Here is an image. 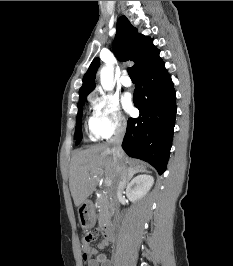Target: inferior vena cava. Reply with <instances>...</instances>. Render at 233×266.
Here are the masks:
<instances>
[{"instance_id":"1","label":"inferior vena cava","mask_w":233,"mask_h":266,"mask_svg":"<svg viewBox=\"0 0 233 266\" xmlns=\"http://www.w3.org/2000/svg\"><path fill=\"white\" fill-rule=\"evenodd\" d=\"M126 130V125L125 124H119L116 127L115 134L114 136L110 139V144L112 145V152L114 159L117 161L118 166H117V179L116 182L113 186V198H114V206L116 210V215L114 219V223L117 222L118 219V213H119V202L118 198L123 194L127 179H128V174L130 169L127 167V163L124 160V152L121 147L123 137L125 134Z\"/></svg>"}]
</instances>
